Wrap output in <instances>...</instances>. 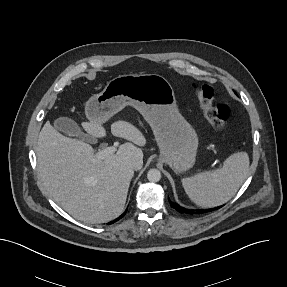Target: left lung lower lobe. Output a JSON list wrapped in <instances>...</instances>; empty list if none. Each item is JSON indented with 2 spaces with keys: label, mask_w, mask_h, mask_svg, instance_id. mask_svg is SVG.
I'll list each match as a JSON object with an SVG mask.
<instances>
[{
  "label": "left lung lower lobe",
  "mask_w": 287,
  "mask_h": 287,
  "mask_svg": "<svg viewBox=\"0 0 287 287\" xmlns=\"http://www.w3.org/2000/svg\"><path fill=\"white\" fill-rule=\"evenodd\" d=\"M170 202V205L172 208H174L175 210H177L179 213H183V214H190V215H193V214H203V213H207V212H210V211H213V210H216V209H219L220 207H217V208H212V209H201V210H194V209H187V208H184L182 206H180L179 204L177 203H173L171 201Z\"/></svg>",
  "instance_id": "obj_1"
}]
</instances>
